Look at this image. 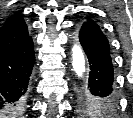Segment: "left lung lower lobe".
<instances>
[{"label":"left lung lower lobe","instance_id":"1","mask_svg":"<svg viewBox=\"0 0 133 118\" xmlns=\"http://www.w3.org/2000/svg\"><path fill=\"white\" fill-rule=\"evenodd\" d=\"M79 41L90 65L89 77L83 88L98 99L117 101L114 85L113 62L107 37L99 27L83 24L79 30ZM101 113H106L101 110Z\"/></svg>","mask_w":133,"mask_h":118}]
</instances>
